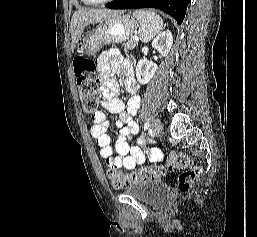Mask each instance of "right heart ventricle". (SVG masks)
I'll list each match as a JSON object with an SVG mask.
<instances>
[{
	"label": "right heart ventricle",
	"mask_w": 257,
	"mask_h": 237,
	"mask_svg": "<svg viewBox=\"0 0 257 237\" xmlns=\"http://www.w3.org/2000/svg\"><path fill=\"white\" fill-rule=\"evenodd\" d=\"M81 2H82L84 5H90V3H89L87 0H81Z\"/></svg>",
	"instance_id": "obj_1"
}]
</instances>
